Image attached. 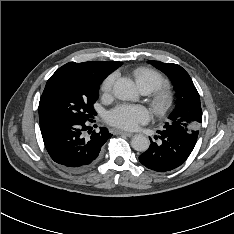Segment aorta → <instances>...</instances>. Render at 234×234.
<instances>
[{
  "label": "aorta",
  "instance_id": "aorta-1",
  "mask_svg": "<svg viewBox=\"0 0 234 234\" xmlns=\"http://www.w3.org/2000/svg\"><path fill=\"white\" fill-rule=\"evenodd\" d=\"M113 92L120 100L128 101L137 98L135 84L132 80L127 78L118 79L113 86ZM131 145L134 150L145 152L149 148L150 141L146 136L137 134L132 138Z\"/></svg>",
  "mask_w": 234,
  "mask_h": 234
}]
</instances>
